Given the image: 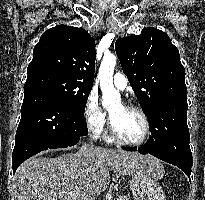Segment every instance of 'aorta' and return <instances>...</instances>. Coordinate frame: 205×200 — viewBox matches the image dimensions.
<instances>
[{"label":"aorta","mask_w":205,"mask_h":200,"mask_svg":"<svg viewBox=\"0 0 205 200\" xmlns=\"http://www.w3.org/2000/svg\"><path fill=\"white\" fill-rule=\"evenodd\" d=\"M116 65V56L111 53L104 55L99 68L100 88L102 91V105L109 109L121 103L120 94L113 84V72Z\"/></svg>","instance_id":"1"}]
</instances>
